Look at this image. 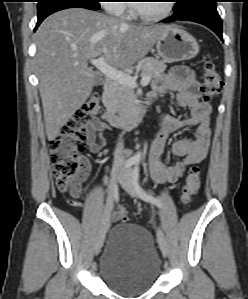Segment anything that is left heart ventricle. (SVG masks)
Here are the masks:
<instances>
[{
    "label": "left heart ventricle",
    "mask_w": 248,
    "mask_h": 299,
    "mask_svg": "<svg viewBox=\"0 0 248 299\" xmlns=\"http://www.w3.org/2000/svg\"><path fill=\"white\" fill-rule=\"evenodd\" d=\"M138 9L146 14H156L163 10L165 1H151L139 3Z\"/></svg>",
    "instance_id": "b2bd125f"
}]
</instances>
